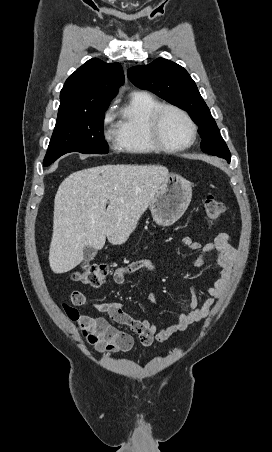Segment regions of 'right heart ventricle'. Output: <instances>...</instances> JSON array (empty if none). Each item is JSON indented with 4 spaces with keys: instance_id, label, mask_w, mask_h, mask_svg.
<instances>
[{
    "instance_id": "e07e8e85",
    "label": "right heart ventricle",
    "mask_w": 272,
    "mask_h": 452,
    "mask_svg": "<svg viewBox=\"0 0 272 452\" xmlns=\"http://www.w3.org/2000/svg\"><path fill=\"white\" fill-rule=\"evenodd\" d=\"M162 103L147 92L132 94L129 104L122 110L117 133L119 147L127 152L147 154L159 150L149 134V120Z\"/></svg>"
}]
</instances>
